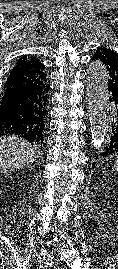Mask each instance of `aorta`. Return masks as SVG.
Masks as SVG:
<instances>
[{"mask_svg":"<svg viewBox=\"0 0 118 269\" xmlns=\"http://www.w3.org/2000/svg\"><path fill=\"white\" fill-rule=\"evenodd\" d=\"M107 85L105 65L94 61L88 68V107L93 143L101 147L107 134Z\"/></svg>","mask_w":118,"mask_h":269,"instance_id":"762f6f07","label":"aorta"}]
</instances>
